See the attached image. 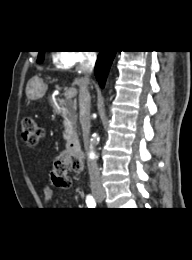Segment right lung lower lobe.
Listing matches in <instances>:
<instances>
[{
	"instance_id": "obj_1",
	"label": "right lung lower lobe",
	"mask_w": 192,
	"mask_h": 260,
	"mask_svg": "<svg viewBox=\"0 0 192 260\" xmlns=\"http://www.w3.org/2000/svg\"><path fill=\"white\" fill-rule=\"evenodd\" d=\"M116 51H100L95 65V76L101 88L104 87L109 68L115 57Z\"/></svg>"
}]
</instances>
